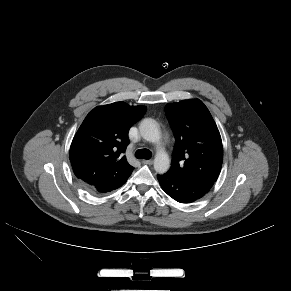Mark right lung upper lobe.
Listing matches in <instances>:
<instances>
[{"label":"right lung upper lobe","mask_w":291,"mask_h":291,"mask_svg":"<svg viewBox=\"0 0 291 291\" xmlns=\"http://www.w3.org/2000/svg\"><path fill=\"white\" fill-rule=\"evenodd\" d=\"M143 106L116 102L93 109L85 118L70 147L74 174L92 185L110 176L126 179L133 171L123 153L129 144L128 130L145 113Z\"/></svg>","instance_id":"cb5924a9"}]
</instances>
